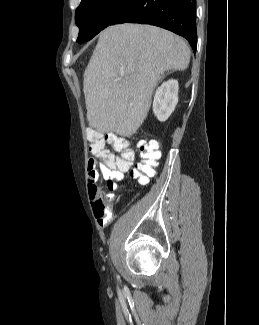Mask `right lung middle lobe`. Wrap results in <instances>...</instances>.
Wrapping results in <instances>:
<instances>
[{
    "label": "right lung middle lobe",
    "instance_id": "dd1d6c3e",
    "mask_svg": "<svg viewBox=\"0 0 259 325\" xmlns=\"http://www.w3.org/2000/svg\"><path fill=\"white\" fill-rule=\"evenodd\" d=\"M127 0H81L75 12L79 27V44L92 39L110 25L113 18Z\"/></svg>",
    "mask_w": 259,
    "mask_h": 325
}]
</instances>
